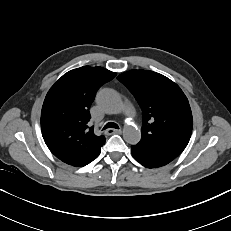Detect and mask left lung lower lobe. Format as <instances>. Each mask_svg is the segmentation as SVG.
<instances>
[{
	"mask_svg": "<svg viewBox=\"0 0 231 231\" xmlns=\"http://www.w3.org/2000/svg\"><path fill=\"white\" fill-rule=\"evenodd\" d=\"M131 152L132 156L147 168L164 166L178 156L167 149L139 144L131 146Z\"/></svg>",
	"mask_w": 231,
	"mask_h": 231,
	"instance_id": "0a47b994",
	"label": "left lung lower lobe"
}]
</instances>
